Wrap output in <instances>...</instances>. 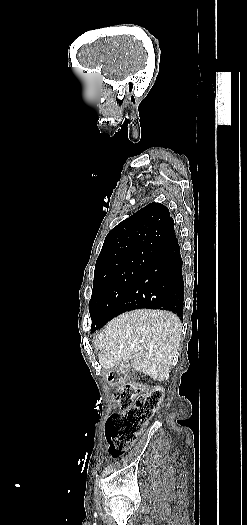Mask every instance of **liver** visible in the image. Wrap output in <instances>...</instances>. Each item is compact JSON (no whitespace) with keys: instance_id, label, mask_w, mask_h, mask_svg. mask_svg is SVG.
Instances as JSON below:
<instances>
[{"instance_id":"liver-1","label":"liver","mask_w":247,"mask_h":525,"mask_svg":"<svg viewBox=\"0 0 247 525\" xmlns=\"http://www.w3.org/2000/svg\"><path fill=\"white\" fill-rule=\"evenodd\" d=\"M181 327L179 317L170 311L136 309L122 313L109 321L93 341L101 351L99 363L109 371L130 361L135 371L153 381H165L177 361Z\"/></svg>"}]
</instances>
